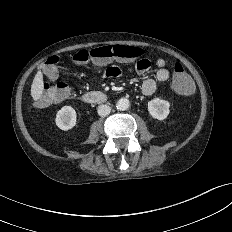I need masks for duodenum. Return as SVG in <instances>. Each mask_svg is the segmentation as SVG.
<instances>
[{"instance_id": "duodenum-1", "label": "duodenum", "mask_w": 232, "mask_h": 232, "mask_svg": "<svg viewBox=\"0 0 232 232\" xmlns=\"http://www.w3.org/2000/svg\"><path fill=\"white\" fill-rule=\"evenodd\" d=\"M83 100L90 104L104 103L107 100V96L103 92L91 91L83 95Z\"/></svg>"}]
</instances>
